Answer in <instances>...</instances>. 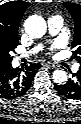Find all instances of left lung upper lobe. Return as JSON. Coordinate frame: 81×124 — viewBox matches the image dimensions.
Masks as SVG:
<instances>
[{
  "mask_svg": "<svg viewBox=\"0 0 81 124\" xmlns=\"http://www.w3.org/2000/svg\"><path fill=\"white\" fill-rule=\"evenodd\" d=\"M64 7L70 12L75 25L74 38L72 42L73 53L76 60L81 63V5L65 2Z\"/></svg>",
  "mask_w": 81,
  "mask_h": 124,
  "instance_id": "obj_1",
  "label": "left lung upper lobe"
}]
</instances>
